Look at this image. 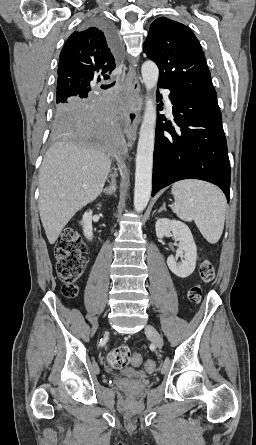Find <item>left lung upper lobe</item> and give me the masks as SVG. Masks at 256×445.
Wrapping results in <instances>:
<instances>
[{
    "instance_id": "1",
    "label": "left lung upper lobe",
    "mask_w": 256,
    "mask_h": 445,
    "mask_svg": "<svg viewBox=\"0 0 256 445\" xmlns=\"http://www.w3.org/2000/svg\"><path fill=\"white\" fill-rule=\"evenodd\" d=\"M143 50L159 67V84L217 100L203 50L188 27L167 18L156 19L150 26Z\"/></svg>"
}]
</instances>
